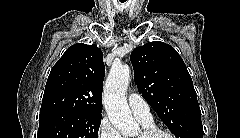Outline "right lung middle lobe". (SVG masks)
<instances>
[{
  "instance_id": "obj_1",
  "label": "right lung middle lobe",
  "mask_w": 240,
  "mask_h": 138,
  "mask_svg": "<svg viewBox=\"0 0 240 138\" xmlns=\"http://www.w3.org/2000/svg\"><path fill=\"white\" fill-rule=\"evenodd\" d=\"M101 117L70 111L40 115L37 138H97Z\"/></svg>"
}]
</instances>
